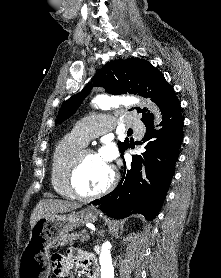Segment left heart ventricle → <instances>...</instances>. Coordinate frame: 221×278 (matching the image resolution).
<instances>
[{
	"label": "left heart ventricle",
	"instance_id": "obj_1",
	"mask_svg": "<svg viewBox=\"0 0 221 278\" xmlns=\"http://www.w3.org/2000/svg\"><path fill=\"white\" fill-rule=\"evenodd\" d=\"M110 165L98 154L88 155L82 162L78 173V184L85 193L101 190L109 182Z\"/></svg>",
	"mask_w": 221,
	"mask_h": 278
}]
</instances>
